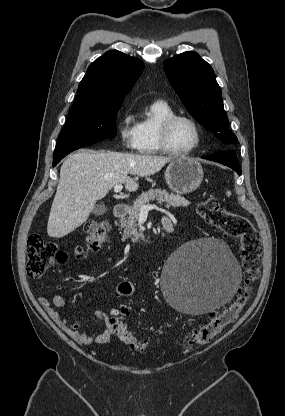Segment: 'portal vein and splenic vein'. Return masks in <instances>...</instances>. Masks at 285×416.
I'll return each instance as SVG.
<instances>
[{
    "instance_id": "obj_1",
    "label": "portal vein and splenic vein",
    "mask_w": 285,
    "mask_h": 416,
    "mask_svg": "<svg viewBox=\"0 0 285 416\" xmlns=\"http://www.w3.org/2000/svg\"><path fill=\"white\" fill-rule=\"evenodd\" d=\"M123 190L122 184H118V186H114V192L118 194V192H121ZM149 210H159L157 206H154V204H147V206H141L140 208V216H147Z\"/></svg>"
}]
</instances>
